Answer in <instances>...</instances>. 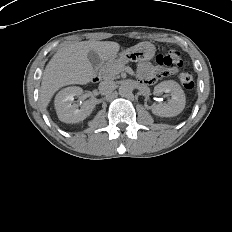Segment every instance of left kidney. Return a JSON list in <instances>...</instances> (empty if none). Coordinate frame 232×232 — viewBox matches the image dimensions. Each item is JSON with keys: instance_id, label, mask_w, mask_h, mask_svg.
Masks as SVG:
<instances>
[{"instance_id": "obj_1", "label": "left kidney", "mask_w": 232, "mask_h": 232, "mask_svg": "<svg viewBox=\"0 0 232 232\" xmlns=\"http://www.w3.org/2000/svg\"><path fill=\"white\" fill-rule=\"evenodd\" d=\"M156 94L170 93L171 99L167 103H160L152 107V113L160 117H174L185 108L186 98L180 85L173 81H163L154 87Z\"/></svg>"}]
</instances>
